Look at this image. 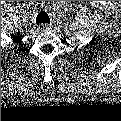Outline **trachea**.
I'll return each instance as SVG.
<instances>
[{"instance_id": "3493384b", "label": "trachea", "mask_w": 121, "mask_h": 121, "mask_svg": "<svg viewBox=\"0 0 121 121\" xmlns=\"http://www.w3.org/2000/svg\"><path fill=\"white\" fill-rule=\"evenodd\" d=\"M50 19L49 16L46 12H41L38 14L36 18V23L41 24V23H49Z\"/></svg>"}]
</instances>
